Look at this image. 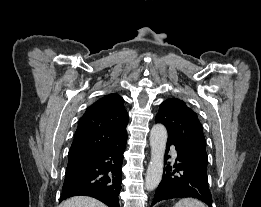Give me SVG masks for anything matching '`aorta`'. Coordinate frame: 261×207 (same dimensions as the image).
Returning a JSON list of instances; mask_svg holds the SVG:
<instances>
[{
	"label": "aorta",
	"mask_w": 261,
	"mask_h": 207,
	"mask_svg": "<svg viewBox=\"0 0 261 207\" xmlns=\"http://www.w3.org/2000/svg\"><path fill=\"white\" fill-rule=\"evenodd\" d=\"M166 142V128L162 124L154 125L150 133L151 160L145 176V188L148 191L154 190L162 179Z\"/></svg>",
	"instance_id": "aorta-1"
}]
</instances>
